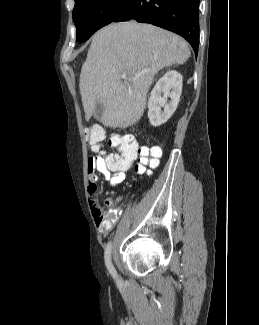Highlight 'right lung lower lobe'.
<instances>
[{"label":"right lung lower lobe","instance_id":"obj_1","mask_svg":"<svg viewBox=\"0 0 259 325\" xmlns=\"http://www.w3.org/2000/svg\"><path fill=\"white\" fill-rule=\"evenodd\" d=\"M131 19L175 32L198 52L199 0H126L112 22Z\"/></svg>","mask_w":259,"mask_h":325}]
</instances>
